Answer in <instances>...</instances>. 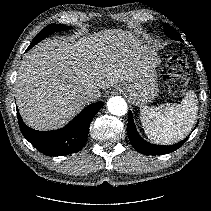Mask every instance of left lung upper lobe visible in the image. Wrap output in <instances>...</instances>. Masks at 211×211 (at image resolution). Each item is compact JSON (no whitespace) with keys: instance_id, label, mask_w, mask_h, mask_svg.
I'll return each instance as SVG.
<instances>
[{"instance_id":"1","label":"left lung upper lobe","mask_w":211,"mask_h":211,"mask_svg":"<svg viewBox=\"0 0 211 211\" xmlns=\"http://www.w3.org/2000/svg\"><path fill=\"white\" fill-rule=\"evenodd\" d=\"M165 34L174 40H181V37L177 34V32L168 24H164Z\"/></svg>"}]
</instances>
